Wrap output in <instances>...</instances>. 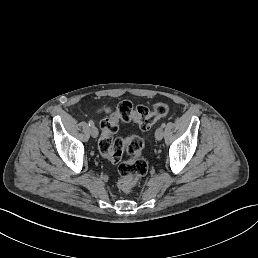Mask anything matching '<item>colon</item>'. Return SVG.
Returning a JSON list of instances; mask_svg holds the SVG:
<instances>
[{
    "instance_id": "5ec220e1",
    "label": "colon",
    "mask_w": 258,
    "mask_h": 258,
    "mask_svg": "<svg viewBox=\"0 0 258 258\" xmlns=\"http://www.w3.org/2000/svg\"><path fill=\"white\" fill-rule=\"evenodd\" d=\"M166 103L158 102L150 109L129 101L118 104L116 110L100 122L101 134L98 142L100 153L109 161L118 164V188L125 192L134 191L137 181L147 173L148 164L142 157L143 140L136 135L126 139L115 138L120 122H134L141 130H149L158 120L168 115ZM129 159L121 162L123 154Z\"/></svg>"
}]
</instances>
